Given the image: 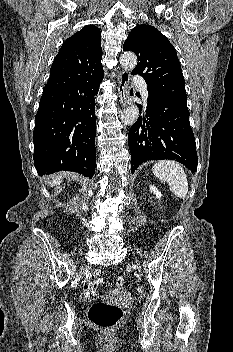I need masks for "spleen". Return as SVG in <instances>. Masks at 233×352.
Returning <instances> with one entry per match:
<instances>
[{
    "label": "spleen",
    "instance_id": "1",
    "mask_svg": "<svg viewBox=\"0 0 233 352\" xmlns=\"http://www.w3.org/2000/svg\"><path fill=\"white\" fill-rule=\"evenodd\" d=\"M156 177L169 184L171 192L184 199L188 193V181L183 167L175 161H159L153 168Z\"/></svg>",
    "mask_w": 233,
    "mask_h": 352
}]
</instances>
